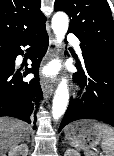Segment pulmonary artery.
<instances>
[{"mask_svg": "<svg viewBox=\"0 0 114 156\" xmlns=\"http://www.w3.org/2000/svg\"><path fill=\"white\" fill-rule=\"evenodd\" d=\"M68 40L73 44V46L75 47V49L80 52V41L72 34H70L68 36Z\"/></svg>", "mask_w": 114, "mask_h": 156, "instance_id": "1", "label": "pulmonary artery"}]
</instances>
